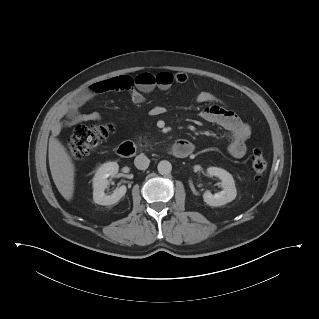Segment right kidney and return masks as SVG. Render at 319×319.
Listing matches in <instances>:
<instances>
[{
	"label": "right kidney",
	"mask_w": 319,
	"mask_h": 319,
	"mask_svg": "<svg viewBox=\"0 0 319 319\" xmlns=\"http://www.w3.org/2000/svg\"><path fill=\"white\" fill-rule=\"evenodd\" d=\"M119 165L116 162L104 163L96 172L93 178V200L99 205H112L117 203L126 193L127 188L122 185L116 188L111 195H106V189L109 181V176H114L118 173Z\"/></svg>",
	"instance_id": "1"
}]
</instances>
